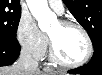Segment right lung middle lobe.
<instances>
[{"label":"right lung middle lobe","mask_w":102,"mask_h":75,"mask_svg":"<svg viewBox=\"0 0 102 75\" xmlns=\"http://www.w3.org/2000/svg\"><path fill=\"white\" fill-rule=\"evenodd\" d=\"M20 17V6L0 3V39L17 40L16 31Z\"/></svg>","instance_id":"1"}]
</instances>
